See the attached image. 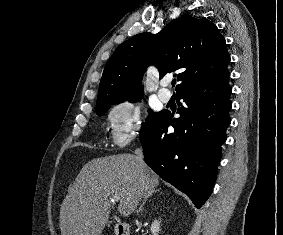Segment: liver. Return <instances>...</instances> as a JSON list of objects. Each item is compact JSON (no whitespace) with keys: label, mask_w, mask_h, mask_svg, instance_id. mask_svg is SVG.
Wrapping results in <instances>:
<instances>
[{"label":"liver","mask_w":283,"mask_h":235,"mask_svg":"<svg viewBox=\"0 0 283 235\" xmlns=\"http://www.w3.org/2000/svg\"><path fill=\"white\" fill-rule=\"evenodd\" d=\"M159 185V177L133 154L96 158L77 175L60 209L61 235H101L110 215L109 197H120L118 211L128 217L139 200Z\"/></svg>","instance_id":"1"}]
</instances>
